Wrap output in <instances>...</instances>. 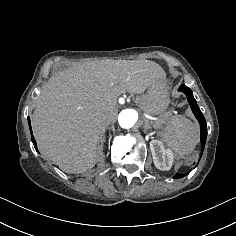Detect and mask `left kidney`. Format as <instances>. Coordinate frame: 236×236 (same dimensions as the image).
I'll return each mask as SVG.
<instances>
[{
  "label": "left kidney",
  "mask_w": 236,
  "mask_h": 236,
  "mask_svg": "<svg viewBox=\"0 0 236 236\" xmlns=\"http://www.w3.org/2000/svg\"><path fill=\"white\" fill-rule=\"evenodd\" d=\"M150 146L154 165L160 170H170L174 160L173 151L165 148L159 140H152Z\"/></svg>",
  "instance_id": "obj_1"
}]
</instances>
